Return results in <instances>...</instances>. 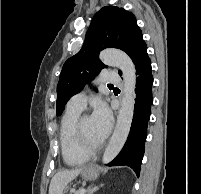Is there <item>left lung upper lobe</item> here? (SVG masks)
Masks as SVG:
<instances>
[{"mask_svg": "<svg viewBox=\"0 0 201 194\" xmlns=\"http://www.w3.org/2000/svg\"><path fill=\"white\" fill-rule=\"evenodd\" d=\"M142 39V32L131 12L116 6H106L97 12L86 33L83 47L63 65L57 86V115L63 112L70 97L80 92L102 68L107 67L98 58L101 50L118 48L132 58Z\"/></svg>", "mask_w": 201, "mask_h": 194, "instance_id": "left-lung-upper-lobe-1", "label": "left lung upper lobe"}]
</instances>
